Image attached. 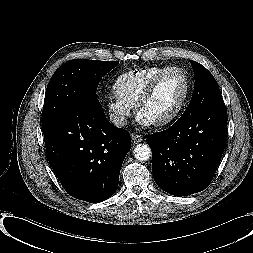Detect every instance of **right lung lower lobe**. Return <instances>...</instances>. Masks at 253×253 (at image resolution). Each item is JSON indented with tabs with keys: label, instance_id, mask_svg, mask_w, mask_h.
<instances>
[{
	"label": "right lung lower lobe",
	"instance_id": "1",
	"mask_svg": "<svg viewBox=\"0 0 253 253\" xmlns=\"http://www.w3.org/2000/svg\"><path fill=\"white\" fill-rule=\"evenodd\" d=\"M43 134L49 163L72 197L98 203L114 194L131 140L106 119L97 99L77 103Z\"/></svg>",
	"mask_w": 253,
	"mask_h": 253
}]
</instances>
